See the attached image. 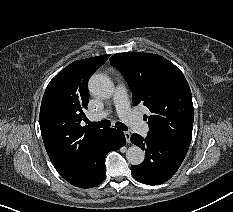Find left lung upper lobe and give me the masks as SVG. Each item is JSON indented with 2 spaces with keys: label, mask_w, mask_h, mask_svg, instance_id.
I'll return each mask as SVG.
<instances>
[{
  "label": "left lung upper lobe",
  "mask_w": 233,
  "mask_h": 212,
  "mask_svg": "<svg viewBox=\"0 0 233 212\" xmlns=\"http://www.w3.org/2000/svg\"><path fill=\"white\" fill-rule=\"evenodd\" d=\"M132 90L134 105L143 103L150 110L143 119L148 135L189 147L194 108L183 73L164 57L151 53H119L110 58Z\"/></svg>",
  "instance_id": "left-lung-upper-lobe-1"
}]
</instances>
